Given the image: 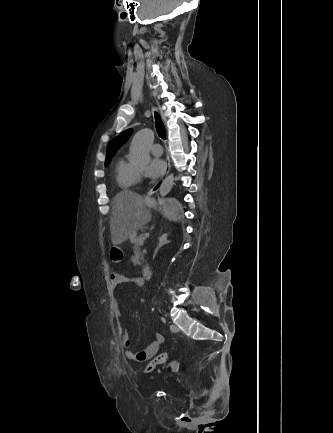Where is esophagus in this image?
<instances>
[{"label":"esophagus","mask_w":333,"mask_h":433,"mask_svg":"<svg viewBox=\"0 0 333 433\" xmlns=\"http://www.w3.org/2000/svg\"><path fill=\"white\" fill-rule=\"evenodd\" d=\"M170 168H171V162H170L169 155H167L165 170L162 173L160 179L148 190V192L145 195V200L147 201L151 200V197L161 188L167 174L170 171Z\"/></svg>","instance_id":"obj_1"}]
</instances>
